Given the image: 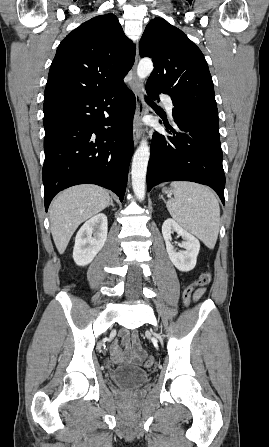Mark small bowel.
Segmentation results:
<instances>
[{
    "label": "small bowel",
    "instance_id": "1",
    "mask_svg": "<svg viewBox=\"0 0 269 447\" xmlns=\"http://www.w3.org/2000/svg\"><path fill=\"white\" fill-rule=\"evenodd\" d=\"M204 292V288L197 289L193 295V301L197 302ZM119 337L124 351L117 343L112 345L110 356L115 364H123L125 362L139 364L141 357H150L140 343L138 332L133 331L130 333L127 329H122L119 332ZM130 338L132 342H130Z\"/></svg>",
    "mask_w": 269,
    "mask_h": 447
}]
</instances>
